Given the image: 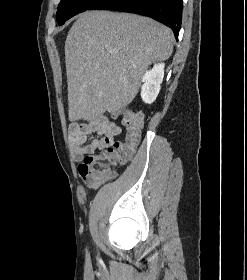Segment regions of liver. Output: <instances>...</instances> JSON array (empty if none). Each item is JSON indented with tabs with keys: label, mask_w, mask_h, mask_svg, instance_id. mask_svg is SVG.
Listing matches in <instances>:
<instances>
[{
	"label": "liver",
	"mask_w": 247,
	"mask_h": 280,
	"mask_svg": "<svg viewBox=\"0 0 247 280\" xmlns=\"http://www.w3.org/2000/svg\"><path fill=\"white\" fill-rule=\"evenodd\" d=\"M173 43L171 29L148 17L81 13L65 42L69 120L95 121L130 104L144 71L168 59Z\"/></svg>",
	"instance_id": "6515ba94"
}]
</instances>
